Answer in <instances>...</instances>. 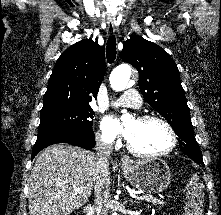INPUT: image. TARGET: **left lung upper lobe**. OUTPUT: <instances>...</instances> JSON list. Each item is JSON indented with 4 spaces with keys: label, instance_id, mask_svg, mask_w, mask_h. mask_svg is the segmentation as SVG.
I'll return each instance as SVG.
<instances>
[{
    "label": "left lung upper lobe",
    "instance_id": "1",
    "mask_svg": "<svg viewBox=\"0 0 221 215\" xmlns=\"http://www.w3.org/2000/svg\"><path fill=\"white\" fill-rule=\"evenodd\" d=\"M121 58L139 72L144 99L172 126L181 151L189 157H201L179 71L170 55L155 43L133 35L124 42Z\"/></svg>",
    "mask_w": 221,
    "mask_h": 215
}]
</instances>
